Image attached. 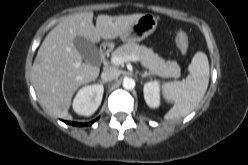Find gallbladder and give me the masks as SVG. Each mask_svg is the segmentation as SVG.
I'll return each mask as SVG.
<instances>
[{
  "label": "gallbladder",
  "instance_id": "1",
  "mask_svg": "<svg viewBox=\"0 0 248 165\" xmlns=\"http://www.w3.org/2000/svg\"><path fill=\"white\" fill-rule=\"evenodd\" d=\"M74 44L87 63L97 65L100 62L99 50L90 40L77 36L74 39Z\"/></svg>",
  "mask_w": 248,
  "mask_h": 165
}]
</instances>
